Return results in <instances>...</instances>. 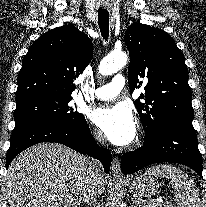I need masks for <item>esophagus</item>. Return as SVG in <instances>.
Segmentation results:
<instances>
[{"instance_id": "1", "label": "esophagus", "mask_w": 206, "mask_h": 207, "mask_svg": "<svg viewBox=\"0 0 206 207\" xmlns=\"http://www.w3.org/2000/svg\"><path fill=\"white\" fill-rule=\"evenodd\" d=\"M111 173L114 177L119 178L121 177V167H120V161L118 158H113L112 164H111Z\"/></svg>"}]
</instances>
